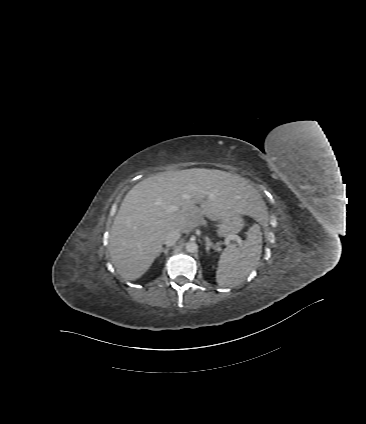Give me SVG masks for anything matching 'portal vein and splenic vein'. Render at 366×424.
<instances>
[{"instance_id": "portal-vein-and-splenic-vein-1", "label": "portal vein and splenic vein", "mask_w": 366, "mask_h": 424, "mask_svg": "<svg viewBox=\"0 0 366 424\" xmlns=\"http://www.w3.org/2000/svg\"><path fill=\"white\" fill-rule=\"evenodd\" d=\"M178 210H179L178 207H175V206L165 207V211L167 213H174V212H177ZM229 240H235L239 245L243 243V240L238 235H231L226 241H229Z\"/></svg>"}]
</instances>
